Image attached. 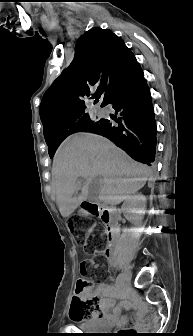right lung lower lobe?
<instances>
[{
  "instance_id": "obj_1",
  "label": "right lung lower lobe",
  "mask_w": 193,
  "mask_h": 336,
  "mask_svg": "<svg viewBox=\"0 0 193 336\" xmlns=\"http://www.w3.org/2000/svg\"><path fill=\"white\" fill-rule=\"evenodd\" d=\"M108 104L121 117L105 119L93 133L108 138L133 159L153 164L157 130L149 88L137 62L123 74L103 106Z\"/></svg>"
}]
</instances>
